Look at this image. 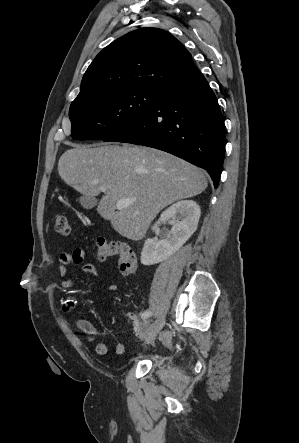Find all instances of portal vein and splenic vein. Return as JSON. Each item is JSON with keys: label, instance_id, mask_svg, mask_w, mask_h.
<instances>
[{"label": "portal vein and splenic vein", "instance_id": "18ae733b", "mask_svg": "<svg viewBox=\"0 0 299 443\" xmlns=\"http://www.w3.org/2000/svg\"><path fill=\"white\" fill-rule=\"evenodd\" d=\"M100 191L106 192V189L101 187ZM132 202H133V199L124 198V199L118 200L116 206L118 209H122V208H126V207L130 206L132 204Z\"/></svg>", "mask_w": 299, "mask_h": 443}]
</instances>
